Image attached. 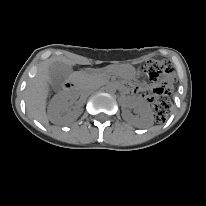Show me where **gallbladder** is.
<instances>
[{
    "instance_id": "bac80fb5",
    "label": "gallbladder",
    "mask_w": 206,
    "mask_h": 206,
    "mask_svg": "<svg viewBox=\"0 0 206 206\" xmlns=\"http://www.w3.org/2000/svg\"><path fill=\"white\" fill-rule=\"evenodd\" d=\"M72 74V67L62 62H55L49 67L50 84L59 88Z\"/></svg>"
}]
</instances>
